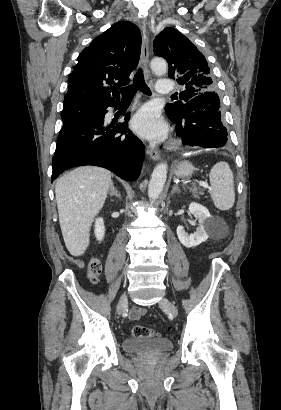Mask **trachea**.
Returning a JSON list of instances; mask_svg holds the SVG:
<instances>
[{"label": "trachea", "mask_w": 281, "mask_h": 410, "mask_svg": "<svg viewBox=\"0 0 281 410\" xmlns=\"http://www.w3.org/2000/svg\"><path fill=\"white\" fill-rule=\"evenodd\" d=\"M137 90H140L142 93L146 95H151V90L147 86L145 80H144V75L142 73V70H138V72L135 74L134 79H133V84L129 85L127 87H123L120 89V92L122 94L123 99H132L137 92Z\"/></svg>", "instance_id": "trachea-1"}]
</instances>
